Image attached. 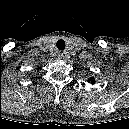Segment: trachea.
Listing matches in <instances>:
<instances>
[{"mask_svg":"<svg viewBox=\"0 0 129 129\" xmlns=\"http://www.w3.org/2000/svg\"><path fill=\"white\" fill-rule=\"evenodd\" d=\"M56 46L59 50H64L65 49V41L60 39L57 41Z\"/></svg>","mask_w":129,"mask_h":129,"instance_id":"trachea-1","label":"trachea"}]
</instances>
